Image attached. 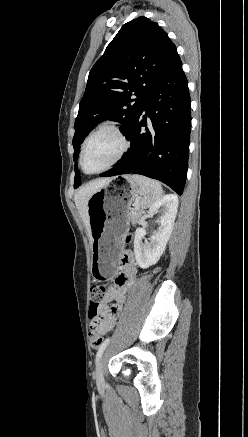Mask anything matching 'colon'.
<instances>
[{
  "instance_id": "obj_1",
  "label": "colon",
  "mask_w": 248,
  "mask_h": 437,
  "mask_svg": "<svg viewBox=\"0 0 248 437\" xmlns=\"http://www.w3.org/2000/svg\"><path fill=\"white\" fill-rule=\"evenodd\" d=\"M130 237H127V241ZM106 294V289L102 285H95L91 289V305L89 309V318L91 320V331L89 334L90 344L93 348H97L103 340V335L98 331V322L100 319L99 309L102 305Z\"/></svg>"
}]
</instances>
